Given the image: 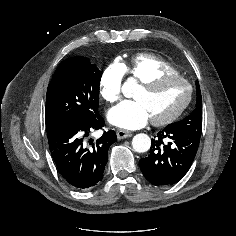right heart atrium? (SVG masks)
Returning <instances> with one entry per match:
<instances>
[{
	"label": "right heart atrium",
	"mask_w": 236,
	"mask_h": 236,
	"mask_svg": "<svg viewBox=\"0 0 236 236\" xmlns=\"http://www.w3.org/2000/svg\"><path fill=\"white\" fill-rule=\"evenodd\" d=\"M125 74V65L119 60L111 62L103 70L99 79V91L107 102L115 103L121 100Z\"/></svg>",
	"instance_id": "right-heart-atrium-1"
}]
</instances>
